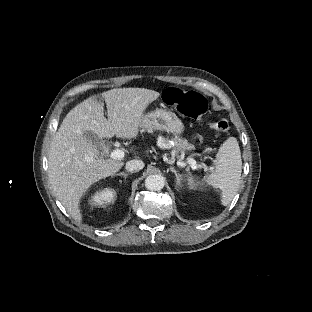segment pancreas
Instances as JSON below:
<instances>
[{"mask_svg": "<svg viewBox=\"0 0 312 312\" xmlns=\"http://www.w3.org/2000/svg\"><path fill=\"white\" fill-rule=\"evenodd\" d=\"M174 143L173 151L176 155H178L180 152H183L185 150H193L195 149L194 145L189 143L186 139L180 138L178 136H175L171 139ZM162 142L167 144L169 142L168 139L162 138Z\"/></svg>", "mask_w": 312, "mask_h": 312, "instance_id": "1", "label": "pancreas"}]
</instances>
